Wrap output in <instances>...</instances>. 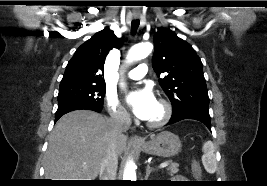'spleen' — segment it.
Wrapping results in <instances>:
<instances>
[{"instance_id": "spleen-1", "label": "spleen", "mask_w": 267, "mask_h": 186, "mask_svg": "<svg viewBox=\"0 0 267 186\" xmlns=\"http://www.w3.org/2000/svg\"><path fill=\"white\" fill-rule=\"evenodd\" d=\"M203 156L202 163L209 173H214L217 168L216 159H215V148L214 144L211 141H206L202 147Z\"/></svg>"}]
</instances>
